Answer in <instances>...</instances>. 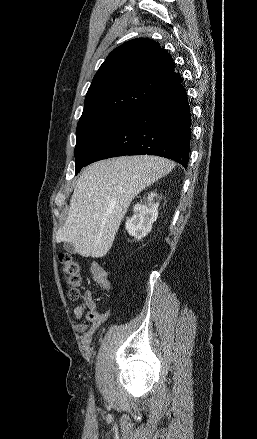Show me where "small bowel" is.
I'll use <instances>...</instances> for the list:
<instances>
[{
  "mask_svg": "<svg viewBox=\"0 0 257 439\" xmlns=\"http://www.w3.org/2000/svg\"><path fill=\"white\" fill-rule=\"evenodd\" d=\"M86 313L85 322L77 325V330L81 334V340L85 344H89L94 329L107 319V315L101 314L90 292L84 297V305L74 309V316L80 319Z\"/></svg>",
  "mask_w": 257,
  "mask_h": 439,
  "instance_id": "1",
  "label": "small bowel"
}]
</instances>
